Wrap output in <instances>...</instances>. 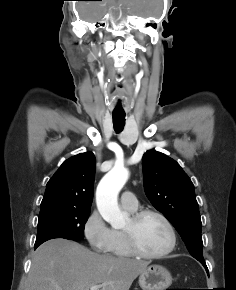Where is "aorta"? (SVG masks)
<instances>
[{"label": "aorta", "mask_w": 236, "mask_h": 290, "mask_svg": "<svg viewBox=\"0 0 236 290\" xmlns=\"http://www.w3.org/2000/svg\"><path fill=\"white\" fill-rule=\"evenodd\" d=\"M128 171L116 166L99 182L96 190V204L99 213L113 228L126 225L127 214L118 205V194L128 180Z\"/></svg>", "instance_id": "obj_1"}]
</instances>
